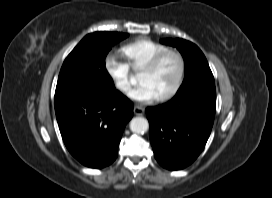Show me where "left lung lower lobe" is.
<instances>
[{"label": "left lung lower lobe", "mask_w": 272, "mask_h": 198, "mask_svg": "<svg viewBox=\"0 0 272 198\" xmlns=\"http://www.w3.org/2000/svg\"><path fill=\"white\" fill-rule=\"evenodd\" d=\"M215 105V85H205L179 92L169 102L146 109L151 145L161 166L180 170L199 156L211 133Z\"/></svg>", "instance_id": "0a47b994"}]
</instances>
